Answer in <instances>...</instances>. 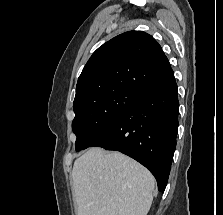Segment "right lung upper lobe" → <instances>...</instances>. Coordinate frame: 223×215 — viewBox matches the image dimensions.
Masks as SVG:
<instances>
[{"instance_id":"obj_1","label":"right lung upper lobe","mask_w":223,"mask_h":215,"mask_svg":"<svg viewBox=\"0 0 223 215\" xmlns=\"http://www.w3.org/2000/svg\"><path fill=\"white\" fill-rule=\"evenodd\" d=\"M173 78L157 41L145 32L128 31L100 46L90 57L78 78L73 108L115 90L140 95Z\"/></svg>"}]
</instances>
